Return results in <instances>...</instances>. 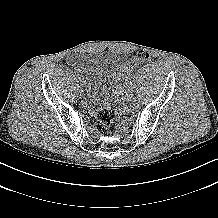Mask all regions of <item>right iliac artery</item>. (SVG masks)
Wrapping results in <instances>:
<instances>
[{"instance_id":"obj_1","label":"right iliac artery","mask_w":218,"mask_h":218,"mask_svg":"<svg viewBox=\"0 0 218 218\" xmlns=\"http://www.w3.org/2000/svg\"><path fill=\"white\" fill-rule=\"evenodd\" d=\"M75 74H76L77 76H81L80 73H79L78 71H76V70H75ZM78 78H80V77H78Z\"/></svg>"}]
</instances>
